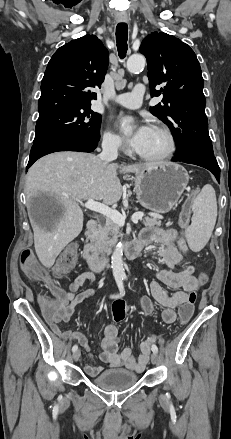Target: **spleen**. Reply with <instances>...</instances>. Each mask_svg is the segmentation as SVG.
<instances>
[{
    "label": "spleen",
    "instance_id": "1",
    "mask_svg": "<svg viewBox=\"0 0 231 439\" xmlns=\"http://www.w3.org/2000/svg\"><path fill=\"white\" fill-rule=\"evenodd\" d=\"M191 225L186 230L189 247L193 251H200L209 241L217 218V201L214 188L206 184L193 205Z\"/></svg>",
    "mask_w": 231,
    "mask_h": 439
}]
</instances>
